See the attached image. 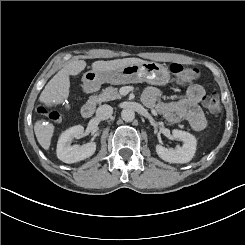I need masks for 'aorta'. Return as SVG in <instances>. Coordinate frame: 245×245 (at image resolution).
<instances>
[{"mask_svg": "<svg viewBox=\"0 0 245 245\" xmlns=\"http://www.w3.org/2000/svg\"><path fill=\"white\" fill-rule=\"evenodd\" d=\"M121 117L126 122H131L135 118V112L132 109H123L121 112Z\"/></svg>", "mask_w": 245, "mask_h": 245, "instance_id": "obj_1", "label": "aorta"}]
</instances>
